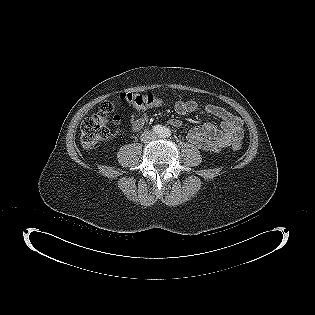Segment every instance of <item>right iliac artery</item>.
<instances>
[{
	"label": "right iliac artery",
	"instance_id": "82829eb1",
	"mask_svg": "<svg viewBox=\"0 0 315 315\" xmlns=\"http://www.w3.org/2000/svg\"><path fill=\"white\" fill-rule=\"evenodd\" d=\"M153 132L156 133L157 135H161L163 127L161 125H156L153 127Z\"/></svg>",
	"mask_w": 315,
	"mask_h": 315
}]
</instances>
